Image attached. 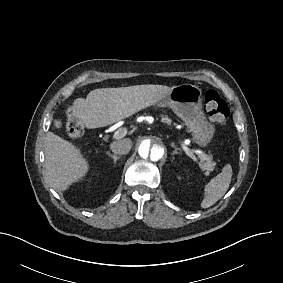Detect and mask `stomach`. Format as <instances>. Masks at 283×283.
<instances>
[{
  "mask_svg": "<svg viewBox=\"0 0 283 283\" xmlns=\"http://www.w3.org/2000/svg\"><path fill=\"white\" fill-rule=\"evenodd\" d=\"M170 106L191 132V140L201 148L212 142L216 127L203 110V92L200 87L185 83L172 88V92L159 103L160 107Z\"/></svg>",
  "mask_w": 283,
  "mask_h": 283,
  "instance_id": "stomach-1",
  "label": "stomach"
}]
</instances>
